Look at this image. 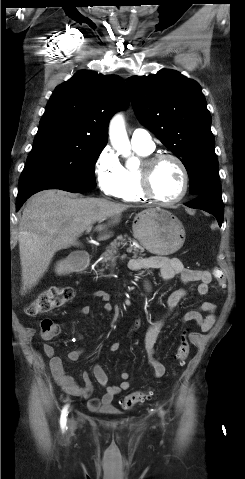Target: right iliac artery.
<instances>
[{
	"label": "right iliac artery",
	"instance_id": "obj_1",
	"mask_svg": "<svg viewBox=\"0 0 245 479\" xmlns=\"http://www.w3.org/2000/svg\"><path fill=\"white\" fill-rule=\"evenodd\" d=\"M68 406H65L61 412V417H60V426L63 431L67 429L66 423H67V414H68Z\"/></svg>",
	"mask_w": 245,
	"mask_h": 479
}]
</instances>
